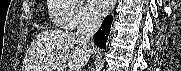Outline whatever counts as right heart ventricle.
<instances>
[{
    "label": "right heart ventricle",
    "mask_w": 181,
    "mask_h": 71,
    "mask_svg": "<svg viewBox=\"0 0 181 71\" xmlns=\"http://www.w3.org/2000/svg\"><path fill=\"white\" fill-rule=\"evenodd\" d=\"M63 10V7L60 5H57L56 3H53L51 6V14L56 23L59 24V17L61 15V12Z\"/></svg>",
    "instance_id": "1"
}]
</instances>
